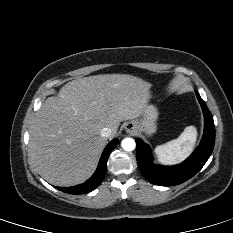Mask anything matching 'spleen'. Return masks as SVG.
Returning <instances> with one entry per match:
<instances>
[{
	"label": "spleen",
	"mask_w": 233,
	"mask_h": 233,
	"mask_svg": "<svg viewBox=\"0 0 233 233\" xmlns=\"http://www.w3.org/2000/svg\"><path fill=\"white\" fill-rule=\"evenodd\" d=\"M196 140V127L188 126L177 139L157 146L154 152L162 164H177L190 155Z\"/></svg>",
	"instance_id": "1"
}]
</instances>
